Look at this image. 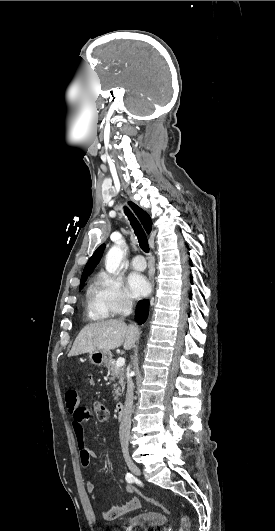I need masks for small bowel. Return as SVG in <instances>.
<instances>
[{
    "mask_svg": "<svg viewBox=\"0 0 275 531\" xmlns=\"http://www.w3.org/2000/svg\"><path fill=\"white\" fill-rule=\"evenodd\" d=\"M84 380L86 383L91 384L94 382L95 377L93 374L88 373L85 375ZM67 408L72 414V430L77 440L80 449V461L84 468H87L91 464V460L97 457L94 450L89 449L86 446L85 441V425L89 421L90 413L87 409L77 406V398L75 395L70 394L66 399ZM86 491L92 495L93 500H96L95 492L97 486L94 482L88 481L85 485ZM125 493L127 495H135L137 492L132 491V486L127 485L125 487ZM141 507V501L137 496H132L127 502L115 506L111 509H102L101 516L104 520H112L120 517L126 513L137 510Z\"/></svg>",
    "mask_w": 275,
    "mask_h": 531,
    "instance_id": "obj_1",
    "label": "small bowel"
}]
</instances>
